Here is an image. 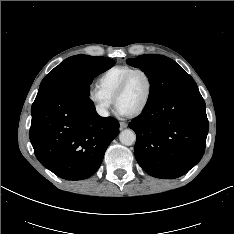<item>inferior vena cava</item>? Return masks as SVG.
<instances>
[{
	"label": "inferior vena cava",
	"instance_id": "inferior-vena-cava-1",
	"mask_svg": "<svg viewBox=\"0 0 234 234\" xmlns=\"http://www.w3.org/2000/svg\"><path fill=\"white\" fill-rule=\"evenodd\" d=\"M96 111L97 113L102 116V117H108L109 116V112L107 111V109L105 107H103L102 105H97L96 106Z\"/></svg>",
	"mask_w": 234,
	"mask_h": 234
}]
</instances>
